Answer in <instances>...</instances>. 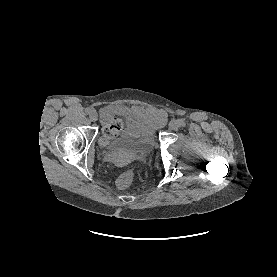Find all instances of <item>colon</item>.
Returning <instances> with one entry per match:
<instances>
[{
	"label": "colon",
	"mask_w": 277,
	"mask_h": 277,
	"mask_svg": "<svg viewBox=\"0 0 277 277\" xmlns=\"http://www.w3.org/2000/svg\"><path fill=\"white\" fill-rule=\"evenodd\" d=\"M127 123L126 119L123 118H114L108 123L102 131L103 140H107L115 137L122 130V128ZM134 179V173L132 170H127L122 173L116 180V184L119 188L124 189L129 187Z\"/></svg>",
	"instance_id": "5ec220e1"
}]
</instances>
